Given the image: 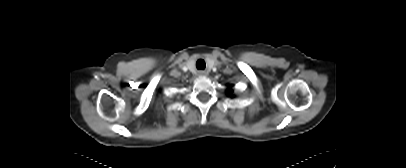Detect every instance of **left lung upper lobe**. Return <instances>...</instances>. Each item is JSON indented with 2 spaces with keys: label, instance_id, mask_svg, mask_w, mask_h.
Listing matches in <instances>:
<instances>
[{
  "label": "left lung upper lobe",
  "instance_id": "left-lung-upper-lobe-1",
  "mask_svg": "<svg viewBox=\"0 0 406 168\" xmlns=\"http://www.w3.org/2000/svg\"><path fill=\"white\" fill-rule=\"evenodd\" d=\"M232 92H233V90H232L231 88H229V89L227 90V93H228L229 95H232Z\"/></svg>",
  "mask_w": 406,
  "mask_h": 168
}]
</instances>
